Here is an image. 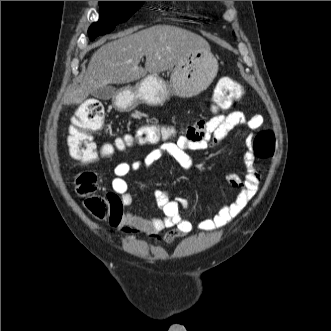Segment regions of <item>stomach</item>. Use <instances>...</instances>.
<instances>
[{
	"instance_id": "stomach-1",
	"label": "stomach",
	"mask_w": 331,
	"mask_h": 331,
	"mask_svg": "<svg viewBox=\"0 0 331 331\" xmlns=\"http://www.w3.org/2000/svg\"><path fill=\"white\" fill-rule=\"evenodd\" d=\"M217 71L218 62L209 45L196 48L174 66L169 82L156 75H148L135 87L120 91L114 102L115 107L120 111H131L140 103L163 105L171 95L183 98L196 96L206 90Z\"/></svg>"
}]
</instances>
